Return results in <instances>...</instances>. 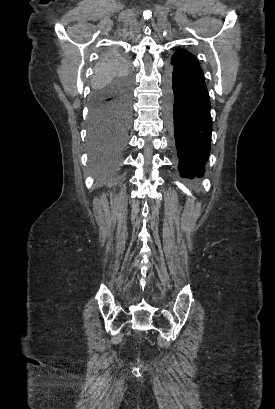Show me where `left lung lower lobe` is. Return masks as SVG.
<instances>
[{"label":"left lung lower lobe","mask_w":275,"mask_h":409,"mask_svg":"<svg viewBox=\"0 0 275 409\" xmlns=\"http://www.w3.org/2000/svg\"><path fill=\"white\" fill-rule=\"evenodd\" d=\"M167 82L168 129L177 149L181 177L201 178L210 153L212 133L205 77L170 64Z\"/></svg>","instance_id":"1"}]
</instances>
